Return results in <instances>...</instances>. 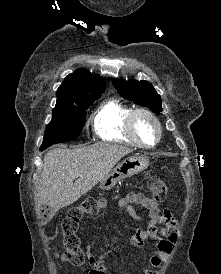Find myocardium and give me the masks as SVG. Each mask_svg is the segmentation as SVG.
<instances>
[{
  "instance_id": "f54148a6",
  "label": "myocardium",
  "mask_w": 221,
  "mask_h": 274,
  "mask_svg": "<svg viewBox=\"0 0 221 274\" xmlns=\"http://www.w3.org/2000/svg\"><path fill=\"white\" fill-rule=\"evenodd\" d=\"M140 115L146 116L149 119H151L156 127L157 137H156V140L152 144H146V143L142 142L137 135L136 119ZM127 131L129 133L130 137L135 141V143L139 147L146 148V149L155 147L160 142V140L162 138V126H161L159 119L156 117V115L152 111H150L146 108H135L130 112V114L128 115V118H127Z\"/></svg>"
}]
</instances>
